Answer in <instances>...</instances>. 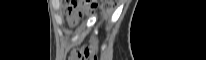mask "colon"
Returning a JSON list of instances; mask_svg holds the SVG:
<instances>
[{"label":"colon","mask_w":206,"mask_h":60,"mask_svg":"<svg viewBox=\"0 0 206 60\" xmlns=\"http://www.w3.org/2000/svg\"><path fill=\"white\" fill-rule=\"evenodd\" d=\"M98 4L96 0H70L65 1L64 10L70 15L77 17L81 16L85 10H94ZM106 6L110 5V1H104ZM94 53V47L83 48L76 52V56L79 60H88Z\"/></svg>","instance_id":"1"}]
</instances>
